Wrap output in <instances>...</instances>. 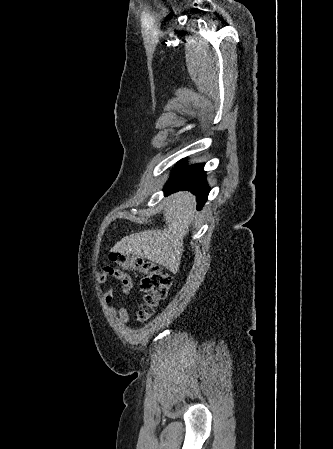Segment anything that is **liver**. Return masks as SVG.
I'll return each instance as SVG.
<instances>
[{"label": "liver", "instance_id": "1", "mask_svg": "<svg viewBox=\"0 0 333 449\" xmlns=\"http://www.w3.org/2000/svg\"><path fill=\"white\" fill-rule=\"evenodd\" d=\"M163 230H145L123 237L111 251L135 254L177 271L183 252V239L196 211V197L190 192L175 193L164 199Z\"/></svg>", "mask_w": 333, "mask_h": 449}]
</instances>
